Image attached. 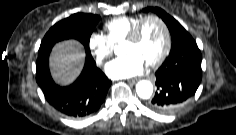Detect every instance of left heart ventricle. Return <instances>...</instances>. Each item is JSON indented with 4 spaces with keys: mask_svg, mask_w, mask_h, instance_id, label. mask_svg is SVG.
<instances>
[{
    "mask_svg": "<svg viewBox=\"0 0 236 135\" xmlns=\"http://www.w3.org/2000/svg\"><path fill=\"white\" fill-rule=\"evenodd\" d=\"M164 40L161 25L156 20L150 19L143 24L135 43L123 45V52L125 54L135 53L147 64L158 58L164 47Z\"/></svg>",
    "mask_w": 236,
    "mask_h": 135,
    "instance_id": "b2bd125f",
    "label": "left heart ventricle"
}]
</instances>
